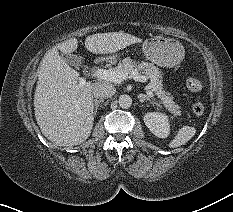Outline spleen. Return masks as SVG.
<instances>
[{"mask_svg":"<svg viewBox=\"0 0 233 212\" xmlns=\"http://www.w3.org/2000/svg\"><path fill=\"white\" fill-rule=\"evenodd\" d=\"M196 133V129L190 126L182 127L175 138L169 143L170 148H176L187 143Z\"/></svg>","mask_w":233,"mask_h":212,"instance_id":"obj_1","label":"spleen"}]
</instances>
